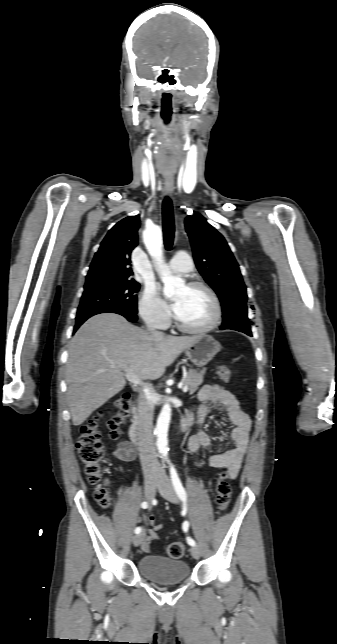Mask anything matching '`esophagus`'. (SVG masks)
<instances>
[{"label":"esophagus","instance_id":"esophagus-1","mask_svg":"<svg viewBox=\"0 0 337 644\" xmlns=\"http://www.w3.org/2000/svg\"><path fill=\"white\" fill-rule=\"evenodd\" d=\"M173 190H174L173 183H172V182H169V181L165 182V193H166L168 196H171V195H172Z\"/></svg>","mask_w":337,"mask_h":644}]
</instances>
